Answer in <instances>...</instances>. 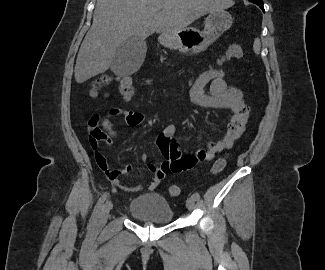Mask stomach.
Segmentation results:
<instances>
[{"label":"stomach","instance_id":"0dacf381","mask_svg":"<svg viewBox=\"0 0 325 270\" xmlns=\"http://www.w3.org/2000/svg\"><path fill=\"white\" fill-rule=\"evenodd\" d=\"M232 25V16L225 10L212 11L205 19L203 31L187 30L177 34H162L159 40L162 45L178 49L182 53H197L205 50Z\"/></svg>","mask_w":325,"mask_h":270}]
</instances>
